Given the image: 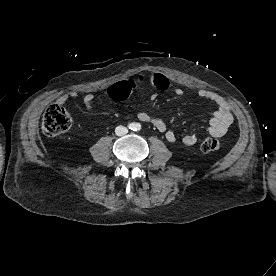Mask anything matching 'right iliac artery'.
<instances>
[{"label": "right iliac artery", "mask_w": 276, "mask_h": 276, "mask_svg": "<svg viewBox=\"0 0 276 276\" xmlns=\"http://www.w3.org/2000/svg\"><path fill=\"white\" fill-rule=\"evenodd\" d=\"M128 128L131 129V130H133L134 129V124L133 123L129 124Z\"/></svg>", "instance_id": "right-iliac-artery-1"}]
</instances>
